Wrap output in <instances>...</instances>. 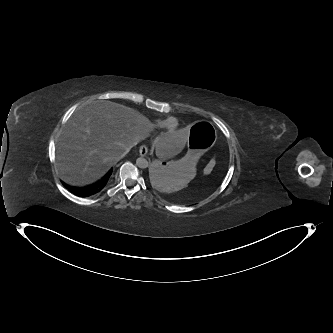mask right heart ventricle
I'll use <instances>...</instances> for the list:
<instances>
[{"label":"right heart ventricle","mask_w":333,"mask_h":333,"mask_svg":"<svg viewBox=\"0 0 333 333\" xmlns=\"http://www.w3.org/2000/svg\"><path fill=\"white\" fill-rule=\"evenodd\" d=\"M169 118H173V122H174V126L175 127H178L179 125V122L176 118L174 117H169ZM169 118H166V119H156L153 121L152 123V126L155 128V129H162L164 128L165 124H166V121L169 119Z\"/></svg>","instance_id":"right-heart-ventricle-1"}]
</instances>
